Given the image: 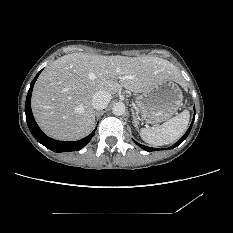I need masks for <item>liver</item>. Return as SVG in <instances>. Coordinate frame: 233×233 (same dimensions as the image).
<instances>
[{
    "instance_id": "obj_1",
    "label": "liver",
    "mask_w": 233,
    "mask_h": 233,
    "mask_svg": "<svg viewBox=\"0 0 233 233\" xmlns=\"http://www.w3.org/2000/svg\"><path fill=\"white\" fill-rule=\"evenodd\" d=\"M168 80L180 83L179 70L159 57L67 54L39 76L32 93V111L48 136L79 140L94 128V93L105 90L116 94L122 87L143 93Z\"/></svg>"
}]
</instances>
